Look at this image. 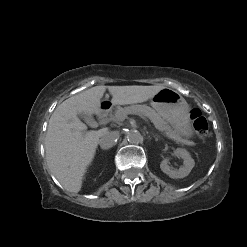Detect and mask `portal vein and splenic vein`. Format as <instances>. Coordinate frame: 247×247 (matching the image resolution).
<instances>
[{
	"label": "portal vein and splenic vein",
	"mask_w": 247,
	"mask_h": 247,
	"mask_svg": "<svg viewBox=\"0 0 247 247\" xmlns=\"http://www.w3.org/2000/svg\"><path fill=\"white\" fill-rule=\"evenodd\" d=\"M131 114H137V113H131ZM139 116H141L142 118H145L144 115H141V114H137Z\"/></svg>",
	"instance_id": "1"
}]
</instances>
